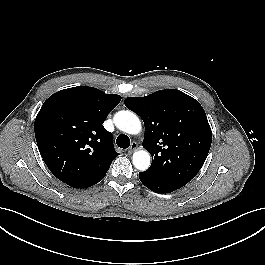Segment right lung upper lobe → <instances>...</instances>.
I'll list each match as a JSON object with an SVG mask.
<instances>
[{
  "instance_id": "right-lung-upper-lobe-1",
  "label": "right lung upper lobe",
  "mask_w": 265,
  "mask_h": 265,
  "mask_svg": "<svg viewBox=\"0 0 265 265\" xmlns=\"http://www.w3.org/2000/svg\"><path fill=\"white\" fill-rule=\"evenodd\" d=\"M120 101L119 95L78 86L44 102L34 131L40 154L56 178L75 186L106 174L118 153L102 124Z\"/></svg>"
}]
</instances>
